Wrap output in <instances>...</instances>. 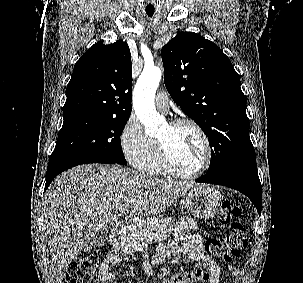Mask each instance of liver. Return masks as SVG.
<instances>
[{"label":"liver","mask_w":303,"mask_h":283,"mask_svg":"<svg viewBox=\"0 0 303 283\" xmlns=\"http://www.w3.org/2000/svg\"><path fill=\"white\" fill-rule=\"evenodd\" d=\"M199 184L151 177L117 165L87 164L60 174L43 201L46 241L62 279L90 235L108 232L122 209L158 214Z\"/></svg>","instance_id":"obj_1"}]
</instances>
